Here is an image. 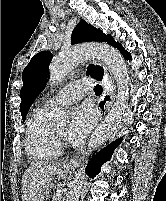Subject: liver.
I'll use <instances>...</instances> for the list:
<instances>
[{
  "label": "liver",
  "instance_id": "1",
  "mask_svg": "<svg viewBox=\"0 0 166 201\" xmlns=\"http://www.w3.org/2000/svg\"><path fill=\"white\" fill-rule=\"evenodd\" d=\"M69 165L62 163H38L27 169L22 176V201H44L45 191L54 176L62 175Z\"/></svg>",
  "mask_w": 166,
  "mask_h": 201
}]
</instances>
